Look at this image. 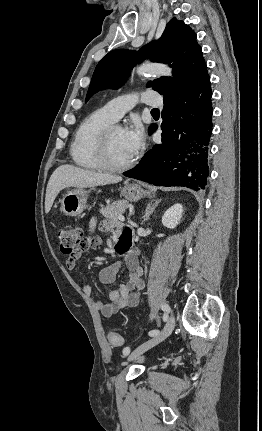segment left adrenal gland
Listing matches in <instances>:
<instances>
[{
  "label": "left adrenal gland",
  "mask_w": 262,
  "mask_h": 431,
  "mask_svg": "<svg viewBox=\"0 0 262 431\" xmlns=\"http://www.w3.org/2000/svg\"><path fill=\"white\" fill-rule=\"evenodd\" d=\"M160 202H161V200H157V201H155L154 203H153V202H150V203L147 205L146 210H145V214H144V216H143V221H142V223H143V222H145V221H147V220L150 218L151 214L155 211L156 207L158 206V204H159Z\"/></svg>",
  "instance_id": "a2214340"
}]
</instances>
